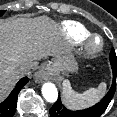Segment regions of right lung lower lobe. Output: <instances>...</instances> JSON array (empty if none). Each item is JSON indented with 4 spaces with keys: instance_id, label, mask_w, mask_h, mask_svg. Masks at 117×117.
I'll return each instance as SVG.
<instances>
[{
    "instance_id": "1",
    "label": "right lung lower lobe",
    "mask_w": 117,
    "mask_h": 117,
    "mask_svg": "<svg viewBox=\"0 0 117 117\" xmlns=\"http://www.w3.org/2000/svg\"><path fill=\"white\" fill-rule=\"evenodd\" d=\"M27 82V77L20 79L10 95L0 104V117H12L14 115L17 106L18 94Z\"/></svg>"
}]
</instances>
